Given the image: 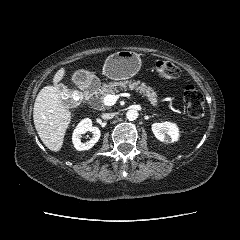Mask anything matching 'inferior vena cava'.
<instances>
[{"label": "inferior vena cava", "instance_id": "1", "mask_svg": "<svg viewBox=\"0 0 240 240\" xmlns=\"http://www.w3.org/2000/svg\"><path fill=\"white\" fill-rule=\"evenodd\" d=\"M114 113H104V114H102V118L104 119V120H108V119H112L113 117H114Z\"/></svg>", "mask_w": 240, "mask_h": 240}]
</instances>
